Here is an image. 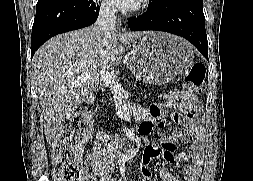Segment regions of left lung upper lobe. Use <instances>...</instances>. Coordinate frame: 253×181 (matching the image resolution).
Masks as SVG:
<instances>
[{"mask_svg": "<svg viewBox=\"0 0 253 181\" xmlns=\"http://www.w3.org/2000/svg\"><path fill=\"white\" fill-rule=\"evenodd\" d=\"M159 1H161V0H151V2L149 3V5H155V4H157Z\"/></svg>", "mask_w": 253, "mask_h": 181, "instance_id": "obj_1", "label": "left lung upper lobe"}]
</instances>
